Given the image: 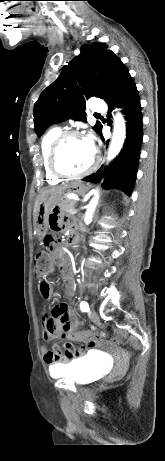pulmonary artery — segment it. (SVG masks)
<instances>
[{"mask_svg": "<svg viewBox=\"0 0 165 461\" xmlns=\"http://www.w3.org/2000/svg\"><path fill=\"white\" fill-rule=\"evenodd\" d=\"M91 109L98 114L106 111L105 104L98 98H94Z\"/></svg>", "mask_w": 165, "mask_h": 461, "instance_id": "e3ab8cb5", "label": "pulmonary artery"}]
</instances>
